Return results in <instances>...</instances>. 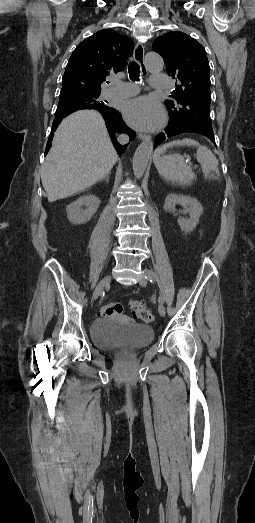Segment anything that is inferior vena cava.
<instances>
[{
    "instance_id": "602c4592",
    "label": "inferior vena cava",
    "mask_w": 255,
    "mask_h": 523,
    "mask_svg": "<svg viewBox=\"0 0 255 523\" xmlns=\"http://www.w3.org/2000/svg\"><path fill=\"white\" fill-rule=\"evenodd\" d=\"M118 140H119L120 144H127L128 136H125V134H122V136H119Z\"/></svg>"
}]
</instances>
